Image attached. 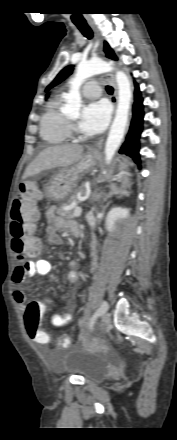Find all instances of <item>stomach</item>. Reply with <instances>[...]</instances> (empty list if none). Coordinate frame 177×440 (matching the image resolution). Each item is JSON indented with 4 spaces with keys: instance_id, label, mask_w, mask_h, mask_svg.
I'll return each mask as SVG.
<instances>
[{
    "instance_id": "stomach-1",
    "label": "stomach",
    "mask_w": 177,
    "mask_h": 440,
    "mask_svg": "<svg viewBox=\"0 0 177 440\" xmlns=\"http://www.w3.org/2000/svg\"><path fill=\"white\" fill-rule=\"evenodd\" d=\"M96 163L97 157L87 154L76 165L58 170L45 185V196L53 201L63 200L72 191L81 175L92 169Z\"/></svg>"
}]
</instances>
